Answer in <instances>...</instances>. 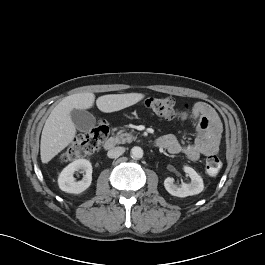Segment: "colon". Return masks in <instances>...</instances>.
<instances>
[{"label": "colon", "mask_w": 265, "mask_h": 265, "mask_svg": "<svg viewBox=\"0 0 265 265\" xmlns=\"http://www.w3.org/2000/svg\"><path fill=\"white\" fill-rule=\"evenodd\" d=\"M145 106L152 113L164 118L190 119L193 116V110L185 105L178 108L173 98H148ZM108 125L101 121L91 131L76 137L62 154L64 161L82 158L95 153L104 139L108 136ZM221 160L216 155H209L205 162L206 173L214 177L221 170Z\"/></svg>", "instance_id": "obj_1"}]
</instances>
